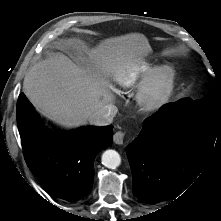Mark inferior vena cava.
I'll return each mask as SVG.
<instances>
[{"instance_id":"obj_1","label":"inferior vena cava","mask_w":221,"mask_h":221,"mask_svg":"<svg viewBox=\"0 0 221 221\" xmlns=\"http://www.w3.org/2000/svg\"><path fill=\"white\" fill-rule=\"evenodd\" d=\"M117 107L113 104H108L95 111L90 117L89 122L96 126H106L112 123L113 118L117 114Z\"/></svg>"}]
</instances>
